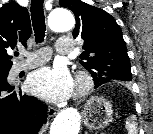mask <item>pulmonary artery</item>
Instances as JSON below:
<instances>
[{
	"mask_svg": "<svg viewBox=\"0 0 153 134\" xmlns=\"http://www.w3.org/2000/svg\"><path fill=\"white\" fill-rule=\"evenodd\" d=\"M73 50V41L69 37H60L56 42V51L59 54H70ZM51 52L48 48H42L35 52L27 54L24 61H20L14 65V73H19L23 70L31 69L44 64L49 60Z\"/></svg>",
	"mask_w": 153,
	"mask_h": 134,
	"instance_id": "1",
	"label": "pulmonary artery"
}]
</instances>
